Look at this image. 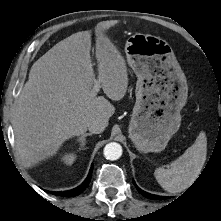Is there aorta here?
Segmentation results:
<instances>
[{
  "instance_id": "aorta-1",
  "label": "aorta",
  "mask_w": 221,
  "mask_h": 221,
  "mask_svg": "<svg viewBox=\"0 0 221 221\" xmlns=\"http://www.w3.org/2000/svg\"><path fill=\"white\" fill-rule=\"evenodd\" d=\"M122 155V147L116 142L107 144L104 148V156L108 160H117Z\"/></svg>"
}]
</instances>
